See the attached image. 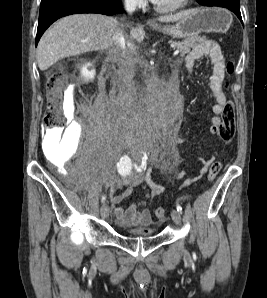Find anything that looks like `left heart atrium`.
I'll use <instances>...</instances> for the list:
<instances>
[{"label": "left heart atrium", "instance_id": "39dd6f15", "mask_svg": "<svg viewBox=\"0 0 267 298\" xmlns=\"http://www.w3.org/2000/svg\"><path fill=\"white\" fill-rule=\"evenodd\" d=\"M152 2H154V3H156L157 2V0H151Z\"/></svg>", "mask_w": 267, "mask_h": 298}]
</instances>
